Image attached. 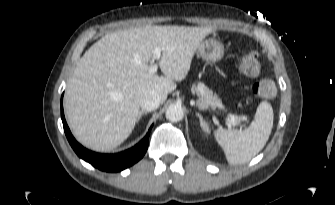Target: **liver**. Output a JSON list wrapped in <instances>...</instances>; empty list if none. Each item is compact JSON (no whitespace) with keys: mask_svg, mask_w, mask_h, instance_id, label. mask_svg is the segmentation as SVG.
I'll use <instances>...</instances> for the list:
<instances>
[{"mask_svg":"<svg viewBox=\"0 0 335 205\" xmlns=\"http://www.w3.org/2000/svg\"><path fill=\"white\" fill-rule=\"evenodd\" d=\"M210 27L150 26L109 33L78 61L67 85L65 113L75 138L87 148L110 151L126 140L140 113V98L155 90L161 102L186 78ZM159 67L149 72L154 50Z\"/></svg>","mask_w":335,"mask_h":205,"instance_id":"1","label":"liver"}]
</instances>
